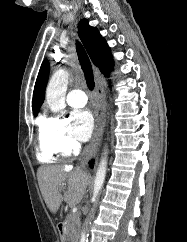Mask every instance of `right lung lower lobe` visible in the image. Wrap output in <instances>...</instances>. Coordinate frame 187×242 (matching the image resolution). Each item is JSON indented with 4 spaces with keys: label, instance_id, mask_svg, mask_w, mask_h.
Returning <instances> with one entry per match:
<instances>
[{
    "label": "right lung lower lobe",
    "instance_id": "98d812e1",
    "mask_svg": "<svg viewBox=\"0 0 187 242\" xmlns=\"http://www.w3.org/2000/svg\"><path fill=\"white\" fill-rule=\"evenodd\" d=\"M89 163H90V167H93V161H90Z\"/></svg>",
    "mask_w": 187,
    "mask_h": 242
}]
</instances>
